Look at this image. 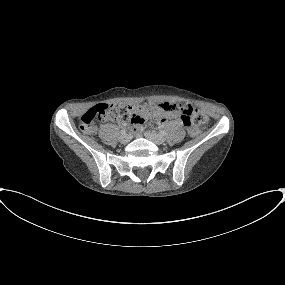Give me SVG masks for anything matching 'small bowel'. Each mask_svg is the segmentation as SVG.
Wrapping results in <instances>:
<instances>
[{"mask_svg": "<svg viewBox=\"0 0 285 285\" xmlns=\"http://www.w3.org/2000/svg\"><path fill=\"white\" fill-rule=\"evenodd\" d=\"M176 104L170 103V102H161L157 104V109L152 112L145 114L143 116H140L136 119L135 125L141 129L145 127V122L148 118L154 117L158 122L164 123L169 119H177L178 122L181 125H185L181 119H179L178 113L174 110V106ZM186 126V125H185ZM194 133H198V129H194Z\"/></svg>", "mask_w": 285, "mask_h": 285, "instance_id": "1", "label": "small bowel"}]
</instances>
